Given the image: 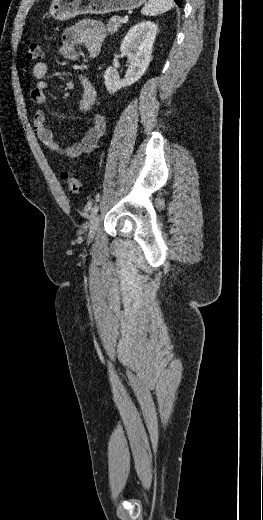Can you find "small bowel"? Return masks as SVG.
<instances>
[{
    "mask_svg": "<svg viewBox=\"0 0 263 520\" xmlns=\"http://www.w3.org/2000/svg\"><path fill=\"white\" fill-rule=\"evenodd\" d=\"M105 36V28L100 22L95 20L80 21L64 31L61 44L58 47V55L74 61L78 57V48L84 46L89 55L95 57L100 52ZM47 73L48 65L45 62L34 65L32 74L36 79V84L30 92V99L36 105H43L46 102V90L49 86ZM78 80L83 89L79 109L87 112L95 103L96 89L85 76L79 75ZM32 121L37 138L43 146L49 151L69 159H77L94 150L106 128L104 117L96 114L83 138L72 145L65 146L57 142L53 131L45 125L46 117L43 110H35Z\"/></svg>",
    "mask_w": 263,
    "mask_h": 520,
    "instance_id": "1",
    "label": "small bowel"
}]
</instances>
